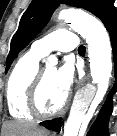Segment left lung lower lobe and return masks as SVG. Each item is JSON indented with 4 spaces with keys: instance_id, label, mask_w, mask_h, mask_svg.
I'll use <instances>...</instances> for the list:
<instances>
[{
    "instance_id": "1",
    "label": "left lung lower lobe",
    "mask_w": 117,
    "mask_h": 136,
    "mask_svg": "<svg viewBox=\"0 0 117 136\" xmlns=\"http://www.w3.org/2000/svg\"><path fill=\"white\" fill-rule=\"evenodd\" d=\"M104 25L109 31L115 62V75L117 76V14L109 18ZM116 90L117 88L114 86L110 91L97 116V119L87 133V136H108L107 126L109 115L112 112V95L116 92ZM42 125L49 130L60 131L62 126V118L45 121L42 123Z\"/></svg>"
}]
</instances>
